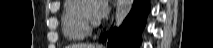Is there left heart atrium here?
<instances>
[{"label":"left heart atrium","mask_w":213,"mask_h":48,"mask_svg":"<svg viewBox=\"0 0 213 48\" xmlns=\"http://www.w3.org/2000/svg\"><path fill=\"white\" fill-rule=\"evenodd\" d=\"M109 12V3L107 0H96L93 10V16L96 20L104 18Z\"/></svg>","instance_id":"39dd6f15"}]
</instances>
